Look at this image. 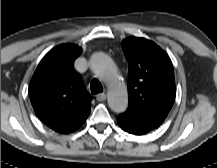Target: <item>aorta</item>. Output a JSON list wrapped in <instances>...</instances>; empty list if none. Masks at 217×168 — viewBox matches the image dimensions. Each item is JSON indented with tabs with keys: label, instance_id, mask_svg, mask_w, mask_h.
I'll return each mask as SVG.
<instances>
[{
	"label": "aorta",
	"instance_id": "aorta-1",
	"mask_svg": "<svg viewBox=\"0 0 217 168\" xmlns=\"http://www.w3.org/2000/svg\"><path fill=\"white\" fill-rule=\"evenodd\" d=\"M90 67L108 86L107 100L110 109L117 113L124 112L128 107V94L112 59L104 53H95L90 58Z\"/></svg>",
	"mask_w": 217,
	"mask_h": 168
}]
</instances>
